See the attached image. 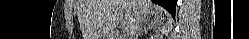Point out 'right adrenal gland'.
<instances>
[{
    "mask_svg": "<svg viewBox=\"0 0 249 39\" xmlns=\"http://www.w3.org/2000/svg\"><path fill=\"white\" fill-rule=\"evenodd\" d=\"M141 33H142V29H140V30H139V32H138L137 34H139V35H140Z\"/></svg>",
    "mask_w": 249,
    "mask_h": 39,
    "instance_id": "right-adrenal-gland-1",
    "label": "right adrenal gland"
}]
</instances>
